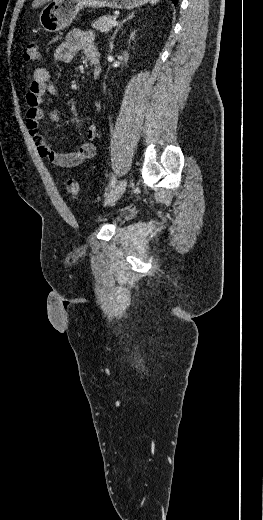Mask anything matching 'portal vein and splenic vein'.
I'll list each match as a JSON object with an SVG mask.
<instances>
[{
	"instance_id": "portal-vein-and-splenic-vein-1",
	"label": "portal vein and splenic vein",
	"mask_w": 263,
	"mask_h": 520,
	"mask_svg": "<svg viewBox=\"0 0 263 520\" xmlns=\"http://www.w3.org/2000/svg\"><path fill=\"white\" fill-rule=\"evenodd\" d=\"M118 25V22L117 21H113L112 22V26H117Z\"/></svg>"
}]
</instances>
